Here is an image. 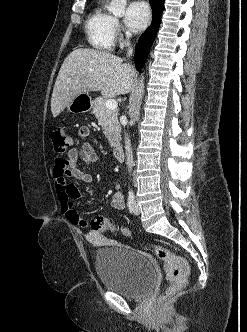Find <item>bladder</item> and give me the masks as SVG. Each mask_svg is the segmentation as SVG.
I'll list each match as a JSON object with an SVG mask.
<instances>
[{
    "instance_id": "bladder-1",
    "label": "bladder",
    "mask_w": 247,
    "mask_h": 332,
    "mask_svg": "<svg viewBox=\"0 0 247 332\" xmlns=\"http://www.w3.org/2000/svg\"><path fill=\"white\" fill-rule=\"evenodd\" d=\"M95 268L106 289L126 298H142L156 281V269L149 255L126 244L99 249Z\"/></svg>"
}]
</instances>
